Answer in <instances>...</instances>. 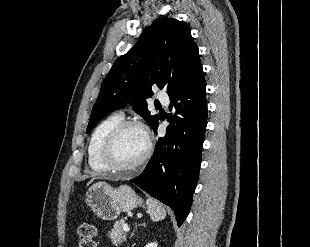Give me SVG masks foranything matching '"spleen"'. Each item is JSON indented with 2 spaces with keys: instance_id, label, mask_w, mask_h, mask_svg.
Returning <instances> with one entry per match:
<instances>
[{
  "instance_id": "1",
  "label": "spleen",
  "mask_w": 310,
  "mask_h": 247,
  "mask_svg": "<svg viewBox=\"0 0 310 247\" xmlns=\"http://www.w3.org/2000/svg\"><path fill=\"white\" fill-rule=\"evenodd\" d=\"M148 214L152 221L157 222L165 218L166 211L163 205L152 198L147 199Z\"/></svg>"
}]
</instances>
